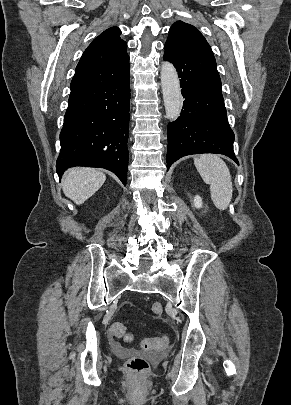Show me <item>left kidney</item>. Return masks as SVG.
I'll list each match as a JSON object with an SVG mask.
<instances>
[{"label": "left kidney", "mask_w": 291, "mask_h": 405, "mask_svg": "<svg viewBox=\"0 0 291 405\" xmlns=\"http://www.w3.org/2000/svg\"><path fill=\"white\" fill-rule=\"evenodd\" d=\"M194 206L196 208H201L202 207V199L200 196H195L194 197Z\"/></svg>", "instance_id": "left-kidney-1"}]
</instances>
